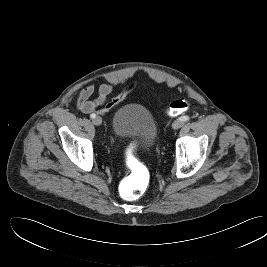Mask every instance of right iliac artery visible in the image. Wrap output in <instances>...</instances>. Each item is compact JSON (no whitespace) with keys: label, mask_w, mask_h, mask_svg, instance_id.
Instances as JSON below:
<instances>
[{"label":"right iliac artery","mask_w":267,"mask_h":267,"mask_svg":"<svg viewBox=\"0 0 267 267\" xmlns=\"http://www.w3.org/2000/svg\"><path fill=\"white\" fill-rule=\"evenodd\" d=\"M96 117V115L93 113L90 115V118L94 119Z\"/></svg>","instance_id":"1"}]
</instances>
